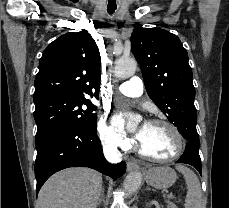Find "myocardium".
I'll list each match as a JSON object with an SVG mask.
<instances>
[{"label":"myocardium","mask_w":229,"mask_h":208,"mask_svg":"<svg viewBox=\"0 0 229 208\" xmlns=\"http://www.w3.org/2000/svg\"><path fill=\"white\" fill-rule=\"evenodd\" d=\"M148 123H150V124H162V125L168 126L171 129H173V130H170L172 142L174 143L175 147H180L181 141H182V147L177 153H175L174 155L169 156V157H150V152H146V148L143 147V143L140 140L139 141V148H140L141 153L145 157L149 158L150 160H152L154 162H159V163H168V162H173V161L179 159L182 156V154L185 152V150L188 146L187 137L182 132V130L176 124H174L168 120H165V119H152Z\"/></svg>","instance_id":"myocardium-1"}]
</instances>
